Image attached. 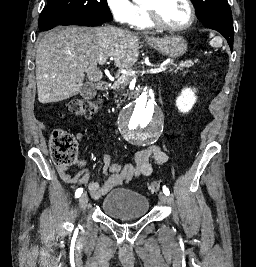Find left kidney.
<instances>
[{
    "label": "left kidney",
    "mask_w": 256,
    "mask_h": 267,
    "mask_svg": "<svg viewBox=\"0 0 256 267\" xmlns=\"http://www.w3.org/2000/svg\"><path fill=\"white\" fill-rule=\"evenodd\" d=\"M195 102V90H192V88H184L176 100V106L179 112L186 114V112H189V110L193 108Z\"/></svg>",
    "instance_id": "left-kidney-1"
}]
</instances>
